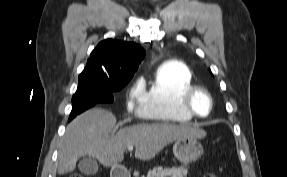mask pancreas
<instances>
[{"mask_svg": "<svg viewBox=\"0 0 287 177\" xmlns=\"http://www.w3.org/2000/svg\"><path fill=\"white\" fill-rule=\"evenodd\" d=\"M188 170L185 167L163 168L156 167L148 172L147 177H186Z\"/></svg>", "mask_w": 287, "mask_h": 177, "instance_id": "cf45deb5", "label": "pancreas"}]
</instances>
